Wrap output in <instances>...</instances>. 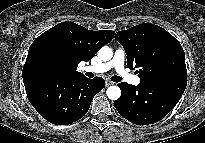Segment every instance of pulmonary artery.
<instances>
[{"mask_svg": "<svg viewBox=\"0 0 205 143\" xmlns=\"http://www.w3.org/2000/svg\"><path fill=\"white\" fill-rule=\"evenodd\" d=\"M124 62V50L117 49L114 53L113 58L109 62L97 63L90 66H86L84 67V70L93 73H104L114 68L122 80L132 85H138L140 83V78L136 75L129 73L124 67Z\"/></svg>", "mask_w": 205, "mask_h": 143, "instance_id": "1", "label": "pulmonary artery"}]
</instances>
